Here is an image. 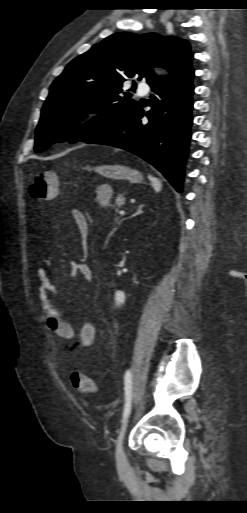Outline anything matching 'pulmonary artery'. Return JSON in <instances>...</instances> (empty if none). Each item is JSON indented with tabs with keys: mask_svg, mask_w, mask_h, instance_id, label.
<instances>
[{
	"mask_svg": "<svg viewBox=\"0 0 247 513\" xmlns=\"http://www.w3.org/2000/svg\"><path fill=\"white\" fill-rule=\"evenodd\" d=\"M149 89H150L149 86L145 83H140L138 85V92L142 95L147 94L149 92Z\"/></svg>",
	"mask_w": 247,
	"mask_h": 513,
	"instance_id": "e3ab8cb5",
	"label": "pulmonary artery"
}]
</instances>
